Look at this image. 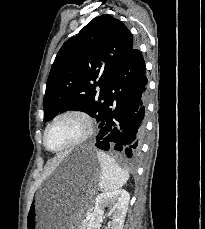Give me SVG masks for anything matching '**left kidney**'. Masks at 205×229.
Returning a JSON list of instances; mask_svg holds the SVG:
<instances>
[{
    "instance_id": "1",
    "label": "left kidney",
    "mask_w": 205,
    "mask_h": 229,
    "mask_svg": "<svg viewBox=\"0 0 205 229\" xmlns=\"http://www.w3.org/2000/svg\"><path fill=\"white\" fill-rule=\"evenodd\" d=\"M129 200L130 194L126 190H114L99 194L95 200L94 211L87 218L89 220L87 229L100 228L106 206L110 207L112 214L109 229H123Z\"/></svg>"
}]
</instances>
